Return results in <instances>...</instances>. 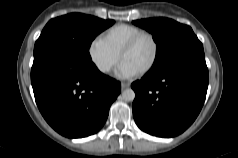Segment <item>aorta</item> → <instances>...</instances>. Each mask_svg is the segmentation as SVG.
<instances>
[{"instance_id": "762f6f07", "label": "aorta", "mask_w": 238, "mask_h": 158, "mask_svg": "<svg viewBox=\"0 0 238 158\" xmlns=\"http://www.w3.org/2000/svg\"><path fill=\"white\" fill-rule=\"evenodd\" d=\"M122 97L125 101H133L135 98V92L132 89H125L122 92Z\"/></svg>"}]
</instances>
